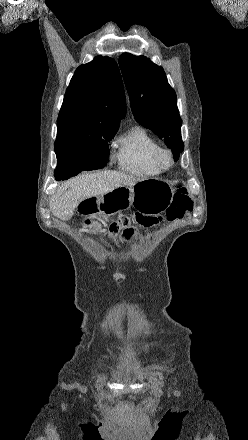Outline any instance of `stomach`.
<instances>
[{
    "mask_svg": "<svg viewBox=\"0 0 248 440\" xmlns=\"http://www.w3.org/2000/svg\"><path fill=\"white\" fill-rule=\"evenodd\" d=\"M173 189L167 183L157 179H145L134 186H122L106 194L91 197L89 204H80V218H109L110 214L136 204L143 211L158 214L165 210L172 201ZM139 199V203L137 200ZM85 224L84 220L80 221ZM102 229L101 225L97 226Z\"/></svg>",
    "mask_w": 248,
    "mask_h": 440,
    "instance_id": "0dacf381",
    "label": "stomach"
}]
</instances>
